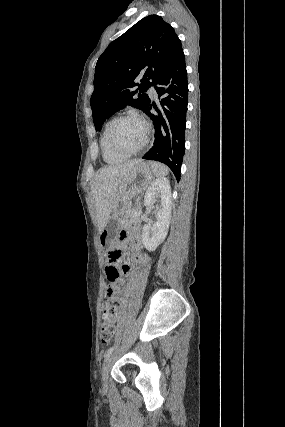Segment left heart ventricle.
<instances>
[{
    "instance_id": "obj_1",
    "label": "left heart ventricle",
    "mask_w": 285,
    "mask_h": 427,
    "mask_svg": "<svg viewBox=\"0 0 285 427\" xmlns=\"http://www.w3.org/2000/svg\"><path fill=\"white\" fill-rule=\"evenodd\" d=\"M144 137V125L134 119L121 121L114 131L115 142L126 150H133L138 147L142 143Z\"/></svg>"
}]
</instances>
